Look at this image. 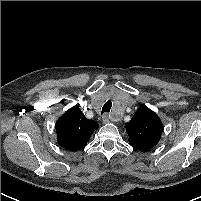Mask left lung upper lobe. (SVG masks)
I'll return each mask as SVG.
<instances>
[{"label":"left lung upper lobe","mask_w":201,"mask_h":201,"mask_svg":"<svg viewBox=\"0 0 201 201\" xmlns=\"http://www.w3.org/2000/svg\"><path fill=\"white\" fill-rule=\"evenodd\" d=\"M125 128L130 145L144 152L159 142L163 131L160 118L146 106L139 107Z\"/></svg>","instance_id":"obj_1"}]
</instances>
